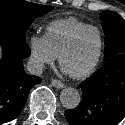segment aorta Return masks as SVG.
Returning a JSON list of instances; mask_svg holds the SVG:
<instances>
[{"label": "aorta", "mask_w": 125, "mask_h": 125, "mask_svg": "<svg viewBox=\"0 0 125 125\" xmlns=\"http://www.w3.org/2000/svg\"><path fill=\"white\" fill-rule=\"evenodd\" d=\"M80 94L75 88H65L61 91L60 101L67 109H74L80 103Z\"/></svg>", "instance_id": "762f6f07"}]
</instances>
